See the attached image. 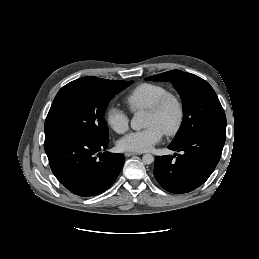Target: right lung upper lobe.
I'll list each match as a JSON object with an SVG mask.
<instances>
[{
	"instance_id": "obj_1",
	"label": "right lung upper lobe",
	"mask_w": 259,
	"mask_h": 259,
	"mask_svg": "<svg viewBox=\"0 0 259 259\" xmlns=\"http://www.w3.org/2000/svg\"><path fill=\"white\" fill-rule=\"evenodd\" d=\"M81 79L89 80V81H92V82H94V83H96V84H100V85L109 84L110 81H111V80L101 79V78L94 77V76L84 77V78H81Z\"/></svg>"
}]
</instances>
